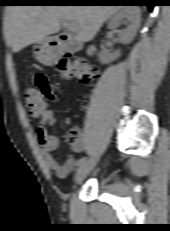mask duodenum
<instances>
[{
    "mask_svg": "<svg viewBox=\"0 0 170 231\" xmlns=\"http://www.w3.org/2000/svg\"><path fill=\"white\" fill-rule=\"evenodd\" d=\"M58 40L61 42V46L55 51L56 54H61L64 52H77L81 48V43L78 40H71L68 38L67 34L60 33L58 35ZM94 52L93 46L88 47V53L92 54Z\"/></svg>",
    "mask_w": 170,
    "mask_h": 231,
    "instance_id": "410a0bca",
    "label": "duodenum"
}]
</instances>
